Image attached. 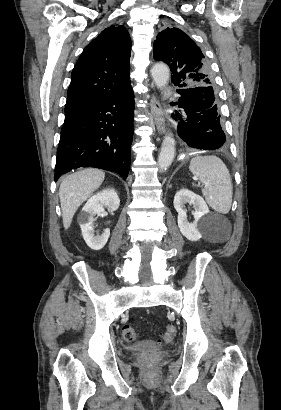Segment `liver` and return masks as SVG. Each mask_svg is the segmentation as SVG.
<instances>
[{"label":"liver","mask_w":281,"mask_h":410,"mask_svg":"<svg viewBox=\"0 0 281 410\" xmlns=\"http://www.w3.org/2000/svg\"><path fill=\"white\" fill-rule=\"evenodd\" d=\"M105 173L88 168L66 176L60 184L59 197L65 229L72 223L78 207L103 183Z\"/></svg>","instance_id":"liver-1"}]
</instances>
